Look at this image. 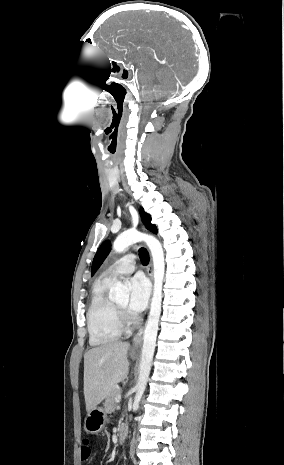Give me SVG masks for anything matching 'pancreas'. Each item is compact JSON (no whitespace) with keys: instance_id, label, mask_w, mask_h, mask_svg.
I'll use <instances>...</instances> for the list:
<instances>
[{"instance_id":"pancreas-1","label":"pancreas","mask_w":284,"mask_h":465,"mask_svg":"<svg viewBox=\"0 0 284 465\" xmlns=\"http://www.w3.org/2000/svg\"><path fill=\"white\" fill-rule=\"evenodd\" d=\"M120 393H121V389H116L115 387V389H112L109 395H107L105 399V403H103V405H104L105 413H108V415H110V413H113V411H115L117 407V403H115V397H118Z\"/></svg>"}]
</instances>
